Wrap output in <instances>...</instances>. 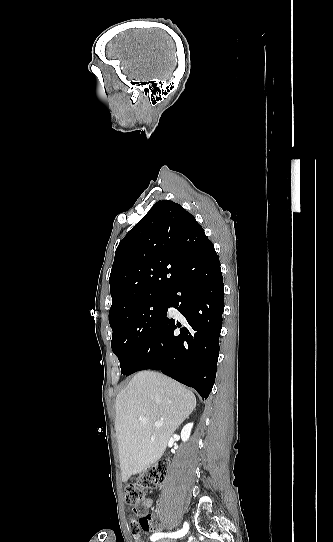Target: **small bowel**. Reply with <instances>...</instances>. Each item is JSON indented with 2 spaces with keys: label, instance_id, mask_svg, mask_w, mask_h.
<instances>
[{
  "label": "small bowel",
  "instance_id": "small-bowel-1",
  "mask_svg": "<svg viewBox=\"0 0 333 542\" xmlns=\"http://www.w3.org/2000/svg\"><path fill=\"white\" fill-rule=\"evenodd\" d=\"M153 505V498L147 497L142 502V506L145 508H150ZM140 528L143 529L145 533H148L150 529L154 531L155 533H160L162 531V527L160 525H150L148 522H141Z\"/></svg>",
  "mask_w": 333,
  "mask_h": 542
}]
</instances>
